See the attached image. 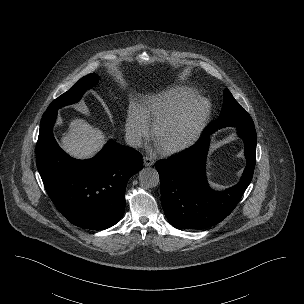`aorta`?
<instances>
[{"mask_svg": "<svg viewBox=\"0 0 304 304\" xmlns=\"http://www.w3.org/2000/svg\"><path fill=\"white\" fill-rule=\"evenodd\" d=\"M139 181L144 188L156 187L160 182L159 174L154 168H143L139 172Z\"/></svg>", "mask_w": 304, "mask_h": 304, "instance_id": "1", "label": "aorta"}]
</instances>
